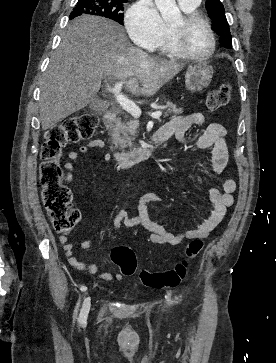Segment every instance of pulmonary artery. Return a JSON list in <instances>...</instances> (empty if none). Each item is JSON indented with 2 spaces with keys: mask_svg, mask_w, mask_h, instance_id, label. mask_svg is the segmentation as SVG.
<instances>
[{
  "mask_svg": "<svg viewBox=\"0 0 276 363\" xmlns=\"http://www.w3.org/2000/svg\"><path fill=\"white\" fill-rule=\"evenodd\" d=\"M177 1L181 6L187 8L196 7L200 2V0H177Z\"/></svg>",
  "mask_w": 276,
  "mask_h": 363,
  "instance_id": "pulmonary-artery-1",
  "label": "pulmonary artery"
}]
</instances>
